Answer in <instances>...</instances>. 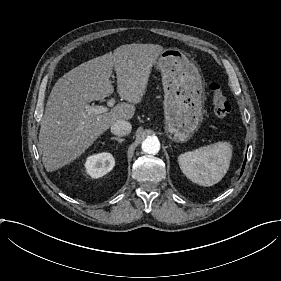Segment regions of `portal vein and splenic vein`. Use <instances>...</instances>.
I'll list each match as a JSON object with an SVG mask.
<instances>
[{
    "mask_svg": "<svg viewBox=\"0 0 281 281\" xmlns=\"http://www.w3.org/2000/svg\"><path fill=\"white\" fill-rule=\"evenodd\" d=\"M114 107V100H109L107 105L88 106L82 116H92L109 112Z\"/></svg>",
    "mask_w": 281,
    "mask_h": 281,
    "instance_id": "obj_1",
    "label": "portal vein and splenic vein"
}]
</instances>
